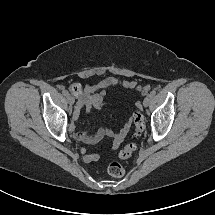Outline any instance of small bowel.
I'll use <instances>...</instances> for the list:
<instances>
[{
	"label": "small bowel",
	"mask_w": 215,
	"mask_h": 215,
	"mask_svg": "<svg viewBox=\"0 0 215 215\" xmlns=\"http://www.w3.org/2000/svg\"><path fill=\"white\" fill-rule=\"evenodd\" d=\"M115 86H121L125 89H134L141 94H145L149 90L148 85H140L134 80L120 81L113 76L106 77L95 85H86L83 89L80 88L79 91L75 92L78 97V102L73 115L74 121L78 119L80 108H85L88 113H91L95 110H100L106 104V90ZM130 126L131 121L128 120L125 122L119 132H114L111 129L105 127L99 128L94 133L80 132L76 130L74 124H72L71 130L77 140L89 145L98 143L104 137H110L112 138V148L116 149L126 137ZM81 152L84 155V160L86 162H95L100 157L97 153H87L84 148L81 150Z\"/></svg>",
	"instance_id": "small-bowel-1"
}]
</instances>
